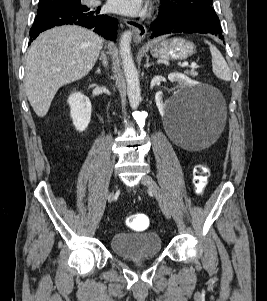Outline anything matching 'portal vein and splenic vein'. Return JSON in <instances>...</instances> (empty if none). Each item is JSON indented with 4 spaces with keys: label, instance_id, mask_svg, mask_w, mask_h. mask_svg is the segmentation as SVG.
Returning a JSON list of instances; mask_svg holds the SVG:
<instances>
[{
    "label": "portal vein and splenic vein",
    "instance_id": "1",
    "mask_svg": "<svg viewBox=\"0 0 267 301\" xmlns=\"http://www.w3.org/2000/svg\"><path fill=\"white\" fill-rule=\"evenodd\" d=\"M185 65H186V64H184L183 66H185ZM190 67L196 68V67H197V63H195V62L191 63V64H190Z\"/></svg>",
    "mask_w": 267,
    "mask_h": 301
}]
</instances>
